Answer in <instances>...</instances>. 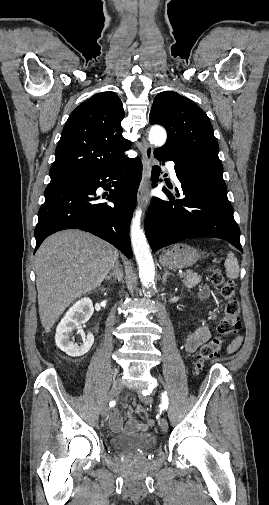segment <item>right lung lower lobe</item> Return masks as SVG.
Instances as JSON below:
<instances>
[{
  "instance_id": "98d812e1",
  "label": "right lung lower lobe",
  "mask_w": 269,
  "mask_h": 505,
  "mask_svg": "<svg viewBox=\"0 0 269 505\" xmlns=\"http://www.w3.org/2000/svg\"><path fill=\"white\" fill-rule=\"evenodd\" d=\"M141 175L140 158L124 157L76 180L47 186L34 232V253L49 235L65 229H80L106 240L132 258L127 233ZM99 187L110 191L107 199L113 205L102 202L96 195Z\"/></svg>"
}]
</instances>
